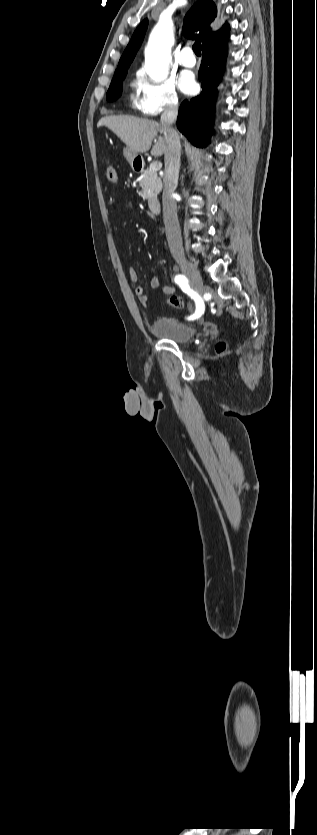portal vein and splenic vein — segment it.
I'll use <instances>...</instances> for the list:
<instances>
[{
	"instance_id": "portal-vein-and-splenic-vein-1",
	"label": "portal vein and splenic vein",
	"mask_w": 317,
	"mask_h": 835,
	"mask_svg": "<svg viewBox=\"0 0 317 835\" xmlns=\"http://www.w3.org/2000/svg\"><path fill=\"white\" fill-rule=\"evenodd\" d=\"M161 167H162V163H161V162H159V161L152 162V163L150 164V169H151V170H153V171L160 170V169H161Z\"/></svg>"
}]
</instances>
